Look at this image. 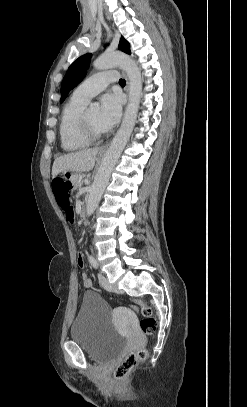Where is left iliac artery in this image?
I'll return each instance as SVG.
<instances>
[{
	"mask_svg": "<svg viewBox=\"0 0 247 407\" xmlns=\"http://www.w3.org/2000/svg\"><path fill=\"white\" fill-rule=\"evenodd\" d=\"M88 259H89L90 264H91L95 269H97L98 264H97L96 259H95L93 256H89Z\"/></svg>",
	"mask_w": 247,
	"mask_h": 407,
	"instance_id": "obj_1",
	"label": "left iliac artery"
}]
</instances>
